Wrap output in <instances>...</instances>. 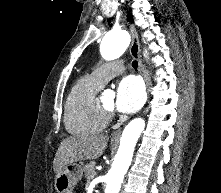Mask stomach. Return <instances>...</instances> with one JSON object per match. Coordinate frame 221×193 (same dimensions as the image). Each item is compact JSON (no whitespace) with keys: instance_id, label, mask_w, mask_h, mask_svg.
<instances>
[{"instance_id":"1","label":"stomach","mask_w":221,"mask_h":193,"mask_svg":"<svg viewBox=\"0 0 221 193\" xmlns=\"http://www.w3.org/2000/svg\"><path fill=\"white\" fill-rule=\"evenodd\" d=\"M82 167L79 164H68L56 172L55 189L58 193H72L82 178Z\"/></svg>"}]
</instances>
